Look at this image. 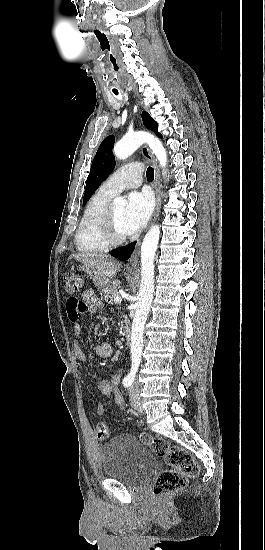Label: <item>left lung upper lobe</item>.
Returning <instances> with one entry per match:
<instances>
[{
    "label": "left lung upper lobe",
    "mask_w": 265,
    "mask_h": 550,
    "mask_svg": "<svg viewBox=\"0 0 265 550\" xmlns=\"http://www.w3.org/2000/svg\"><path fill=\"white\" fill-rule=\"evenodd\" d=\"M142 120L145 127L152 130L156 135L162 137L158 132L156 121L147 113H142ZM114 145V137H106L100 144L97 153L93 159L90 174L87 178L83 203L85 204L98 186L110 175L115 166L112 148Z\"/></svg>",
    "instance_id": "1"
}]
</instances>
